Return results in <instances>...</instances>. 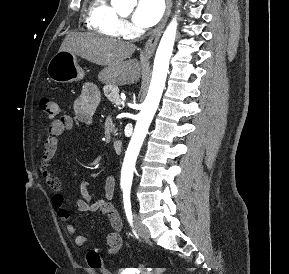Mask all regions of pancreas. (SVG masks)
Returning a JSON list of instances; mask_svg holds the SVG:
<instances>
[{
    "mask_svg": "<svg viewBox=\"0 0 289 274\" xmlns=\"http://www.w3.org/2000/svg\"><path fill=\"white\" fill-rule=\"evenodd\" d=\"M104 94L110 102H115L119 98V89L115 85H108L104 88Z\"/></svg>",
    "mask_w": 289,
    "mask_h": 274,
    "instance_id": "1",
    "label": "pancreas"
}]
</instances>
